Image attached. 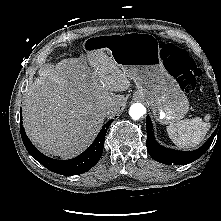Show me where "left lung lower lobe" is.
I'll return each instance as SVG.
<instances>
[{
	"instance_id": "left-lung-lower-lobe-1",
	"label": "left lung lower lobe",
	"mask_w": 221,
	"mask_h": 221,
	"mask_svg": "<svg viewBox=\"0 0 221 221\" xmlns=\"http://www.w3.org/2000/svg\"><path fill=\"white\" fill-rule=\"evenodd\" d=\"M146 128H147V150L150 156L154 160L169 165L170 164L185 165L195 161L207 151L218 130H219L218 134H221V118H220V125H218L217 129L207 140V142L199 149L194 151H178V150L168 149L159 145V143H157L154 138L152 123L149 116H147L146 118Z\"/></svg>"
}]
</instances>
